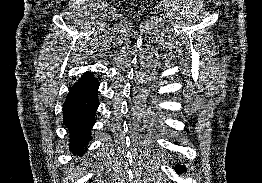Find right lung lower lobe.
<instances>
[{"label": "right lung lower lobe", "instance_id": "1", "mask_svg": "<svg viewBox=\"0 0 262 183\" xmlns=\"http://www.w3.org/2000/svg\"><path fill=\"white\" fill-rule=\"evenodd\" d=\"M99 82L93 73H84L70 88L63 105V123L70 131V150L84 152L86 143L91 139L90 131L95 123L98 102Z\"/></svg>", "mask_w": 262, "mask_h": 183}]
</instances>
